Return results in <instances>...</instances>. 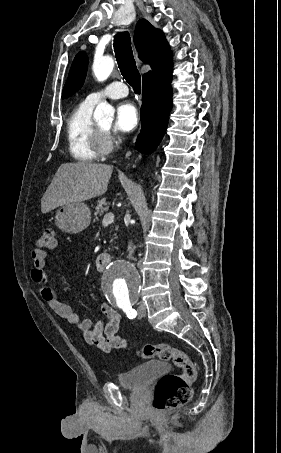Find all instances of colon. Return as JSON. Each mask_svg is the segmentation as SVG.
Returning a JSON list of instances; mask_svg holds the SVG:
<instances>
[{
	"label": "colon",
	"instance_id": "colon-1",
	"mask_svg": "<svg viewBox=\"0 0 281 453\" xmlns=\"http://www.w3.org/2000/svg\"><path fill=\"white\" fill-rule=\"evenodd\" d=\"M56 227H44L36 247L39 250H54L56 245ZM140 359L158 358L180 369L181 373H169L162 376L155 386L152 406L157 413H167L191 400L188 381L198 375V367L188 356L172 345L160 344L147 346L138 351Z\"/></svg>",
	"mask_w": 281,
	"mask_h": 453
}]
</instances>
